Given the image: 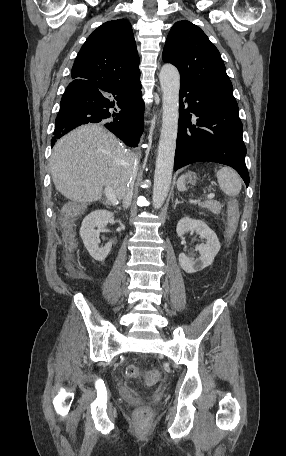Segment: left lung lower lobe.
Here are the masks:
<instances>
[{"instance_id":"0a47b994","label":"left lung lower lobe","mask_w":286,"mask_h":456,"mask_svg":"<svg viewBox=\"0 0 286 456\" xmlns=\"http://www.w3.org/2000/svg\"><path fill=\"white\" fill-rule=\"evenodd\" d=\"M184 97L186 109L182 105ZM179 102L174 170L199 161L221 163L234 168L248 186L238 105L185 80H180ZM190 112L197 117L195 125Z\"/></svg>"}]
</instances>
